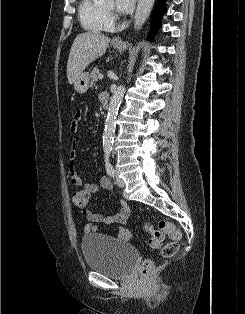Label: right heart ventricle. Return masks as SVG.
<instances>
[{"label": "right heart ventricle", "instance_id": "right-heart-ventricle-1", "mask_svg": "<svg viewBox=\"0 0 245 314\" xmlns=\"http://www.w3.org/2000/svg\"><path fill=\"white\" fill-rule=\"evenodd\" d=\"M78 16L85 30L101 33L112 28L103 7L96 0H80Z\"/></svg>", "mask_w": 245, "mask_h": 314}]
</instances>
